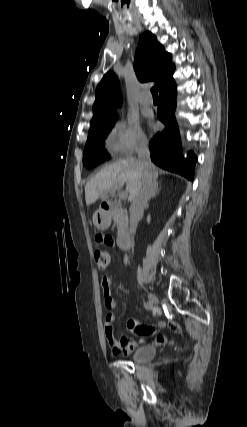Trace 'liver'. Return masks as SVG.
Listing matches in <instances>:
<instances>
[{
    "label": "liver",
    "instance_id": "6515ba94",
    "mask_svg": "<svg viewBox=\"0 0 247 427\" xmlns=\"http://www.w3.org/2000/svg\"><path fill=\"white\" fill-rule=\"evenodd\" d=\"M153 172L157 176L156 167ZM142 168L134 157L119 160L98 172L85 186V200L87 205L93 204L99 197L108 196L109 192L126 182L129 199L132 200L138 192L142 181Z\"/></svg>",
    "mask_w": 247,
    "mask_h": 427
}]
</instances>
